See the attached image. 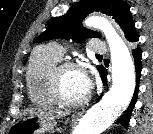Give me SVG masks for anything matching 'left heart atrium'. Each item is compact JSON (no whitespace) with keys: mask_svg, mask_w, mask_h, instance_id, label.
I'll return each mask as SVG.
<instances>
[{"mask_svg":"<svg viewBox=\"0 0 153 134\" xmlns=\"http://www.w3.org/2000/svg\"><path fill=\"white\" fill-rule=\"evenodd\" d=\"M91 81L87 78V93L89 94L90 93V90H91Z\"/></svg>","mask_w":153,"mask_h":134,"instance_id":"obj_1","label":"left heart atrium"}]
</instances>
